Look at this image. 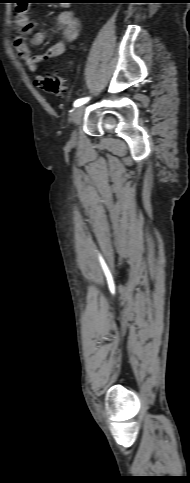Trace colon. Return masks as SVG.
<instances>
[{
    "label": "colon",
    "instance_id": "obj_1",
    "mask_svg": "<svg viewBox=\"0 0 190 483\" xmlns=\"http://www.w3.org/2000/svg\"><path fill=\"white\" fill-rule=\"evenodd\" d=\"M36 84L47 92L61 96L67 90V81L58 74L46 73L36 78Z\"/></svg>",
    "mask_w": 190,
    "mask_h": 483
}]
</instances>
